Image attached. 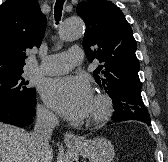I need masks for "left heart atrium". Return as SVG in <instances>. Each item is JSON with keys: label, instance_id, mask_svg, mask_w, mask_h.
Here are the masks:
<instances>
[{"label": "left heart atrium", "instance_id": "left-heart-atrium-1", "mask_svg": "<svg viewBox=\"0 0 168 162\" xmlns=\"http://www.w3.org/2000/svg\"><path fill=\"white\" fill-rule=\"evenodd\" d=\"M46 103L70 120L89 116L93 95L88 80L82 76H66L49 80L43 88Z\"/></svg>", "mask_w": 168, "mask_h": 162}]
</instances>
